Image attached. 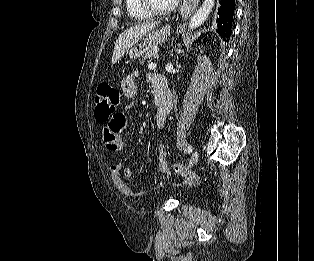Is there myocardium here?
<instances>
[{"label":"myocardium","mask_w":314,"mask_h":261,"mask_svg":"<svg viewBox=\"0 0 314 261\" xmlns=\"http://www.w3.org/2000/svg\"><path fill=\"white\" fill-rule=\"evenodd\" d=\"M140 6L151 15L164 16L170 14L177 6L179 0H173L166 8H157L151 0H138Z\"/></svg>","instance_id":"1"}]
</instances>
